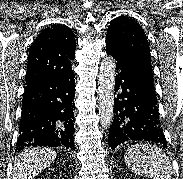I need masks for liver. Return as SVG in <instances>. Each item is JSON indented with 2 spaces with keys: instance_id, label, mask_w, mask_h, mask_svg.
<instances>
[{
  "instance_id": "obj_1",
  "label": "liver",
  "mask_w": 183,
  "mask_h": 179,
  "mask_svg": "<svg viewBox=\"0 0 183 179\" xmlns=\"http://www.w3.org/2000/svg\"><path fill=\"white\" fill-rule=\"evenodd\" d=\"M50 148L32 147L21 152L14 162L13 179H32L56 159Z\"/></svg>"
}]
</instances>
